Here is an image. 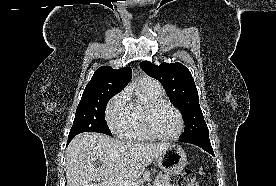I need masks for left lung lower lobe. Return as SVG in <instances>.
<instances>
[{
    "instance_id": "0a47b994",
    "label": "left lung lower lobe",
    "mask_w": 276,
    "mask_h": 186,
    "mask_svg": "<svg viewBox=\"0 0 276 186\" xmlns=\"http://www.w3.org/2000/svg\"><path fill=\"white\" fill-rule=\"evenodd\" d=\"M179 141L197 145L202 149H204L206 152L210 153L211 155H214V152L209 140V134H201V135L192 136L188 138H181Z\"/></svg>"
}]
</instances>
